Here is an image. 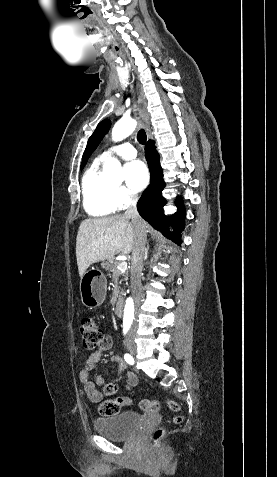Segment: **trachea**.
Segmentation results:
<instances>
[{"label": "trachea", "instance_id": "1", "mask_svg": "<svg viewBox=\"0 0 277 477\" xmlns=\"http://www.w3.org/2000/svg\"><path fill=\"white\" fill-rule=\"evenodd\" d=\"M137 139L140 144L144 145L146 143V133L144 129H140L137 135Z\"/></svg>", "mask_w": 277, "mask_h": 477}]
</instances>
